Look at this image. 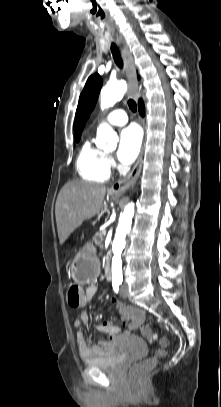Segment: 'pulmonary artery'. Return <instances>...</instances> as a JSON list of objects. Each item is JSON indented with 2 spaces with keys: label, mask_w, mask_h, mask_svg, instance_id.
<instances>
[{
  "label": "pulmonary artery",
  "mask_w": 221,
  "mask_h": 407,
  "mask_svg": "<svg viewBox=\"0 0 221 407\" xmlns=\"http://www.w3.org/2000/svg\"><path fill=\"white\" fill-rule=\"evenodd\" d=\"M105 120L111 125L122 126L128 122V116L123 109H116L110 112Z\"/></svg>",
  "instance_id": "e3ab8cb5"
}]
</instances>
